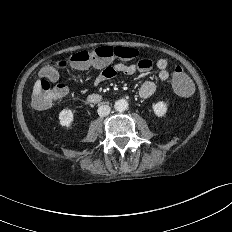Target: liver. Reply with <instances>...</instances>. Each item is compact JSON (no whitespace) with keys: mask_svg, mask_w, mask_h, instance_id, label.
<instances>
[{"mask_svg":"<svg viewBox=\"0 0 232 232\" xmlns=\"http://www.w3.org/2000/svg\"><path fill=\"white\" fill-rule=\"evenodd\" d=\"M41 91V84H40V80H37L34 84V87H33V93L34 95H38Z\"/></svg>","mask_w":232,"mask_h":232,"instance_id":"obj_1","label":"liver"}]
</instances>
